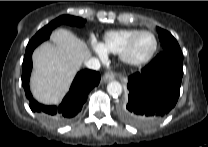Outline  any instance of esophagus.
<instances>
[{
  "instance_id": "esophagus-1",
  "label": "esophagus",
  "mask_w": 208,
  "mask_h": 147,
  "mask_svg": "<svg viewBox=\"0 0 208 147\" xmlns=\"http://www.w3.org/2000/svg\"><path fill=\"white\" fill-rule=\"evenodd\" d=\"M115 79V74L113 72H106L103 76V81L105 83Z\"/></svg>"
}]
</instances>
